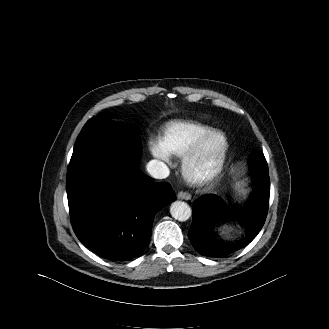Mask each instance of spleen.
<instances>
[{"mask_svg": "<svg viewBox=\"0 0 329 329\" xmlns=\"http://www.w3.org/2000/svg\"><path fill=\"white\" fill-rule=\"evenodd\" d=\"M235 189L238 191L239 195H245L247 190H245L243 187H242V183L241 182H238L236 183L235 185Z\"/></svg>", "mask_w": 329, "mask_h": 329, "instance_id": "spleen-1", "label": "spleen"}]
</instances>
